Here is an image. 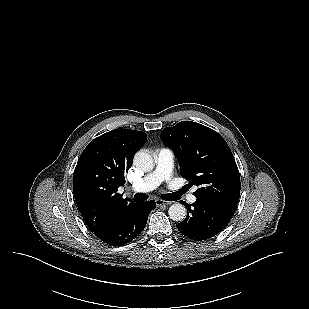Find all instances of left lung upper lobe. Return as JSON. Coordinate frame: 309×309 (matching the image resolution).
Returning <instances> with one entry per match:
<instances>
[{"instance_id": "obj_1", "label": "left lung upper lobe", "mask_w": 309, "mask_h": 309, "mask_svg": "<svg viewBox=\"0 0 309 309\" xmlns=\"http://www.w3.org/2000/svg\"><path fill=\"white\" fill-rule=\"evenodd\" d=\"M161 140L173 149L182 177L199 188L196 198L237 206L240 175L226 141L214 130L192 121L164 128Z\"/></svg>"}]
</instances>
